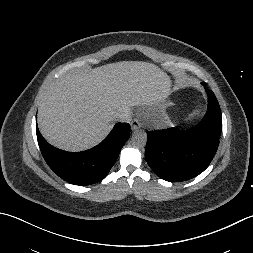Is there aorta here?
<instances>
[{
    "instance_id": "762f6f07",
    "label": "aorta",
    "mask_w": 253,
    "mask_h": 253,
    "mask_svg": "<svg viewBox=\"0 0 253 253\" xmlns=\"http://www.w3.org/2000/svg\"><path fill=\"white\" fill-rule=\"evenodd\" d=\"M132 143L138 148L145 147L147 143V134L142 130H137L132 134Z\"/></svg>"
}]
</instances>
